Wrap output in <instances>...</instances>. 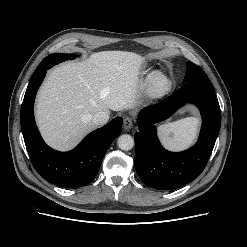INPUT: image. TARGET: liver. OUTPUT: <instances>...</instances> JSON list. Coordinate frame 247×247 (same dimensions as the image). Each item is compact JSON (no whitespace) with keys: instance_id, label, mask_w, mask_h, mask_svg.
<instances>
[{"instance_id":"6515ba94","label":"liver","mask_w":247,"mask_h":247,"mask_svg":"<svg viewBox=\"0 0 247 247\" xmlns=\"http://www.w3.org/2000/svg\"><path fill=\"white\" fill-rule=\"evenodd\" d=\"M143 57L126 51L92 53L55 67L37 97L36 121L52 148H74L96 125L92 115L136 109Z\"/></svg>"}]
</instances>
